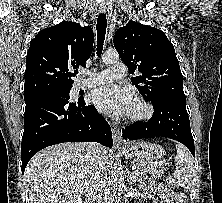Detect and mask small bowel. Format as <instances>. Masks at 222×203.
Here are the masks:
<instances>
[{
  "label": "small bowel",
  "instance_id": "small-bowel-1",
  "mask_svg": "<svg viewBox=\"0 0 222 203\" xmlns=\"http://www.w3.org/2000/svg\"><path fill=\"white\" fill-rule=\"evenodd\" d=\"M149 188L152 189V186ZM157 192L161 198V203H184L183 196L181 194H176L164 186H160Z\"/></svg>",
  "mask_w": 222,
  "mask_h": 203
}]
</instances>
